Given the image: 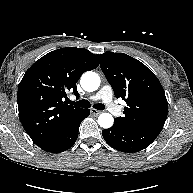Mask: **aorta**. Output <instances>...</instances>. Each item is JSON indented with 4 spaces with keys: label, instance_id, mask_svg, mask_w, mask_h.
Here are the masks:
<instances>
[{
    "label": "aorta",
    "instance_id": "aorta-1",
    "mask_svg": "<svg viewBox=\"0 0 193 193\" xmlns=\"http://www.w3.org/2000/svg\"><path fill=\"white\" fill-rule=\"evenodd\" d=\"M100 77L97 73L88 71L85 72L80 79L81 87L87 92H93L100 86ZM114 118L110 113H102L98 117V124L104 129L112 127Z\"/></svg>",
    "mask_w": 193,
    "mask_h": 193
}]
</instances>
